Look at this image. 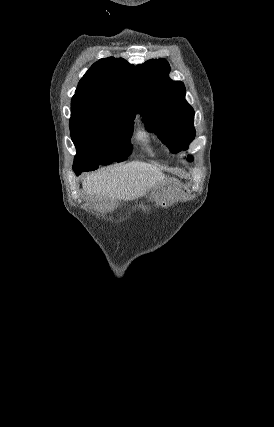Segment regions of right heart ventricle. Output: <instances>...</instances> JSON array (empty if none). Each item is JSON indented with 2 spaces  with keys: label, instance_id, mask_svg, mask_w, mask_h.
<instances>
[{
  "label": "right heart ventricle",
  "instance_id": "1",
  "mask_svg": "<svg viewBox=\"0 0 274 427\" xmlns=\"http://www.w3.org/2000/svg\"><path fill=\"white\" fill-rule=\"evenodd\" d=\"M140 150L145 153L149 157H156L157 156V146L154 143L152 137L144 132L141 131L136 135L135 138Z\"/></svg>",
  "mask_w": 274,
  "mask_h": 427
}]
</instances>
